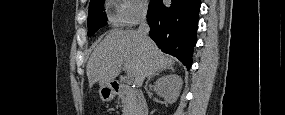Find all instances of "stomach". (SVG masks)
I'll list each match as a JSON object with an SVG mask.
<instances>
[{"label":"stomach","mask_w":285,"mask_h":115,"mask_svg":"<svg viewBox=\"0 0 285 115\" xmlns=\"http://www.w3.org/2000/svg\"><path fill=\"white\" fill-rule=\"evenodd\" d=\"M99 95L102 101L108 102L115 96V91L110 84L104 85L99 90Z\"/></svg>","instance_id":"obj_1"}]
</instances>
